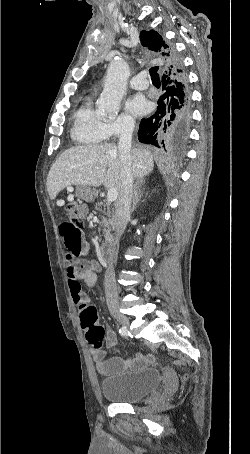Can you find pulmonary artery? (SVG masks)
<instances>
[{
	"label": "pulmonary artery",
	"mask_w": 250,
	"mask_h": 454,
	"mask_svg": "<svg viewBox=\"0 0 250 454\" xmlns=\"http://www.w3.org/2000/svg\"><path fill=\"white\" fill-rule=\"evenodd\" d=\"M129 85L132 89L144 90L149 86V81L144 74H139L131 79Z\"/></svg>",
	"instance_id": "pulmonary-artery-1"
}]
</instances>
